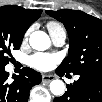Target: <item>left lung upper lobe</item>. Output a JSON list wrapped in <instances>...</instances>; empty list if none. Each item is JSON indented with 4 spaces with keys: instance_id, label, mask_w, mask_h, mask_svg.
<instances>
[{
    "instance_id": "obj_1",
    "label": "left lung upper lobe",
    "mask_w": 102,
    "mask_h": 102,
    "mask_svg": "<svg viewBox=\"0 0 102 102\" xmlns=\"http://www.w3.org/2000/svg\"><path fill=\"white\" fill-rule=\"evenodd\" d=\"M62 22L69 35L68 56L56 69L61 73L102 74V21L82 11H46Z\"/></svg>"
}]
</instances>
